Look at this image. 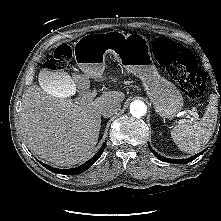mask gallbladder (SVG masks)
Here are the masks:
<instances>
[{
    "label": "gallbladder",
    "mask_w": 221,
    "mask_h": 221,
    "mask_svg": "<svg viewBox=\"0 0 221 221\" xmlns=\"http://www.w3.org/2000/svg\"><path fill=\"white\" fill-rule=\"evenodd\" d=\"M37 82L42 89L62 98L70 97L75 90L74 82L67 75L50 69L42 70Z\"/></svg>",
    "instance_id": "obj_1"
}]
</instances>
